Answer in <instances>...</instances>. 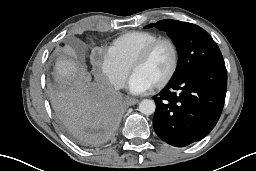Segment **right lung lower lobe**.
<instances>
[{"instance_id":"98d812e1","label":"right lung lower lobe","mask_w":256,"mask_h":171,"mask_svg":"<svg viewBox=\"0 0 256 171\" xmlns=\"http://www.w3.org/2000/svg\"><path fill=\"white\" fill-rule=\"evenodd\" d=\"M58 118L67 133L81 144L99 146L107 143L121 119L119 94L100 83L55 105Z\"/></svg>"}]
</instances>
